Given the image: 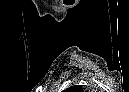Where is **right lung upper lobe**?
Masks as SVG:
<instances>
[{
  "label": "right lung upper lobe",
  "instance_id": "obj_1",
  "mask_svg": "<svg viewBox=\"0 0 129 92\" xmlns=\"http://www.w3.org/2000/svg\"><path fill=\"white\" fill-rule=\"evenodd\" d=\"M71 88H77V89L81 90V87H78V86L75 87V86H74V87H70V88L64 90V92H66V91H71V90H70Z\"/></svg>",
  "mask_w": 129,
  "mask_h": 92
}]
</instances>
